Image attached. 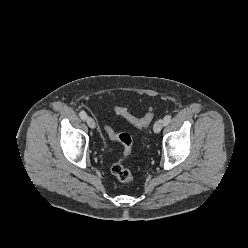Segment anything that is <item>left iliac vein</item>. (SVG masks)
Here are the masks:
<instances>
[{"mask_svg": "<svg viewBox=\"0 0 248 248\" xmlns=\"http://www.w3.org/2000/svg\"><path fill=\"white\" fill-rule=\"evenodd\" d=\"M164 126V120L163 119H159L155 122L154 126H153V131L155 133H159L161 131V129Z\"/></svg>", "mask_w": 248, "mask_h": 248, "instance_id": "obj_1", "label": "left iliac vein"}]
</instances>
